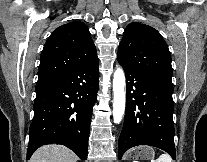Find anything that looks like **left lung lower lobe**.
Here are the masks:
<instances>
[{
    "label": "left lung lower lobe",
    "instance_id": "1",
    "mask_svg": "<svg viewBox=\"0 0 207 162\" xmlns=\"http://www.w3.org/2000/svg\"><path fill=\"white\" fill-rule=\"evenodd\" d=\"M120 65L126 74L127 99L119 159L129 148L149 145L166 151L175 160L172 80Z\"/></svg>",
    "mask_w": 207,
    "mask_h": 162
}]
</instances>
